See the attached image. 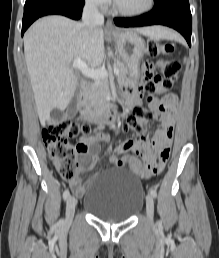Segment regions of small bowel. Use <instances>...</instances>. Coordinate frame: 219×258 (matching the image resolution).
<instances>
[{"instance_id": "1", "label": "small bowel", "mask_w": 219, "mask_h": 258, "mask_svg": "<svg viewBox=\"0 0 219 258\" xmlns=\"http://www.w3.org/2000/svg\"><path fill=\"white\" fill-rule=\"evenodd\" d=\"M144 79H149L154 74V65L151 62H145L142 67ZM128 106L136 105L139 102L138 95L133 90L123 92ZM150 107L156 112V119L161 123V129L155 134L152 140H126L114 147L109 157V162L114 166H127L131 171L141 176L150 175L156 178L157 175H163V169L170 155V147L173 137V128L175 122V113L177 107V96L168 94L163 99H151ZM107 135L101 133L96 139H85L80 145L82 147L80 158V172L93 167L99 159L101 143L107 141ZM152 149H154L152 151ZM145 151H151L150 156L146 158L147 166H143L141 161L133 153L141 154ZM91 152L89 158L87 154ZM119 155H123L119 158ZM89 181L83 182L81 177H76L70 181V187L77 196L85 193Z\"/></svg>"}]
</instances>
